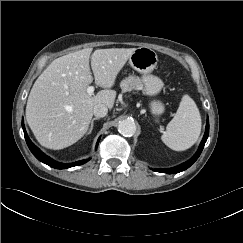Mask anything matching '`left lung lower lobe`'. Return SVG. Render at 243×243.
Returning a JSON list of instances; mask_svg holds the SVG:
<instances>
[{
	"label": "left lung lower lobe",
	"mask_w": 243,
	"mask_h": 243,
	"mask_svg": "<svg viewBox=\"0 0 243 243\" xmlns=\"http://www.w3.org/2000/svg\"><path fill=\"white\" fill-rule=\"evenodd\" d=\"M208 135H209V119H207L206 131H205L204 137H203V139L201 141V144L199 146V149L196 152V154L190 160H188L187 162H185L183 164H180V165H178L176 167H173V168L156 169V171L162 172V173H167V174H175V173H179V172L184 171L187 168H189L198 159V157L200 156V154H201V152L203 150V147H204V145L206 143V140L208 138Z\"/></svg>",
	"instance_id": "1"
}]
</instances>
